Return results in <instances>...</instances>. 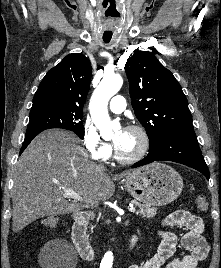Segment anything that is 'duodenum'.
Wrapping results in <instances>:
<instances>
[{"mask_svg":"<svg viewBox=\"0 0 221 268\" xmlns=\"http://www.w3.org/2000/svg\"><path fill=\"white\" fill-rule=\"evenodd\" d=\"M89 217L84 212H79L74 216L72 227V240L81 257L85 260H93L95 250L86 236V227ZM137 241L136 235H132L126 242L124 252H130Z\"/></svg>","mask_w":221,"mask_h":268,"instance_id":"410a0bca","label":"duodenum"}]
</instances>
